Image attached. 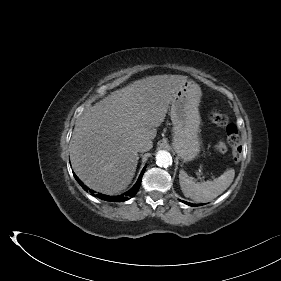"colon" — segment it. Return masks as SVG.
<instances>
[{"instance_id":"obj_1","label":"colon","mask_w":281,"mask_h":281,"mask_svg":"<svg viewBox=\"0 0 281 281\" xmlns=\"http://www.w3.org/2000/svg\"><path fill=\"white\" fill-rule=\"evenodd\" d=\"M210 121L220 127H224L226 130V143L219 142L215 145V151L217 153H224L228 148L231 149L233 158L237 162L240 159V137L237 127L234 124L229 123L228 117L219 110H213L209 114Z\"/></svg>"}]
</instances>
